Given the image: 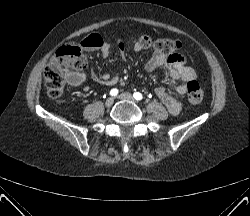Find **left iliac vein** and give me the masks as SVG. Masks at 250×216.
<instances>
[{"label": "left iliac vein", "mask_w": 250, "mask_h": 216, "mask_svg": "<svg viewBox=\"0 0 250 216\" xmlns=\"http://www.w3.org/2000/svg\"><path fill=\"white\" fill-rule=\"evenodd\" d=\"M119 99L125 101H135L134 97L130 93H122L118 96Z\"/></svg>", "instance_id": "4c4485c4"}]
</instances>
